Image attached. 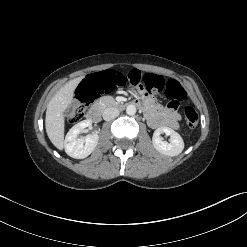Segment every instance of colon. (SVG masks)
Wrapping results in <instances>:
<instances>
[{
  "label": "colon",
  "mask_w": 247,
  "mask_h": 247,
  "mask_svg": "<svg viewBox=\"0 0 247 247\" xmlns=\"http://www.w3.org/2000/svg\"><path fill=\"white\" fill-rule=\"evenodd\" d=\"M131 84L149 92L164 91L169 100L168 106L176 107L185 100L186 93L179 82L165 81L159 75L144 74L137 70L129 72L126 69H108L86 76L77 89V102L70 110L69 118L72 122L80 121L87 113L88 106L102 93L110 94L128 89ZM184 117L190 129L196 128L199 117L192 106L184 108Z\"/></svg>",
  "instance_id": "1"
}]
</instances>
